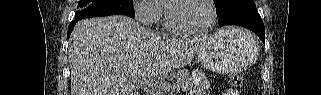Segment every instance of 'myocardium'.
<instances>
[{"label": "myocardium", "instance_id": "1", "mask_svg": "<svg viewBox=\"0 0 321 95\" xmlns=\"http://www.w3.org/2000/svg\"><path fill=\"white\" fill-rule=\"evenodd\" d=\"M186 1H189V0H172L167 3L165 22H166V27L168 28V30L176 35L188 36V37L203 36V35L209 33L214 28V26L217 22V9H216L215 2L213 0H203L209 5V7L211 9V20H210L209 25L206 28H204L203 30L194 31V30L184 29V28L177 26L174 22V19H173L174 7L179 5L180 3H184Z\"/></svg>", "mask_w": 321, "mask_h": 95}]
</instances>
